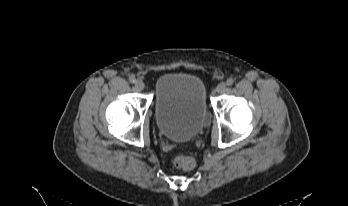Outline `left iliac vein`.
Listing matches in <instances>:
<instances>
[{
  "mask_svg": "<svg viewBox=\"0 0 348 206\" xmlns=\"http://www.w3.org/2000/svg\"><path fill=\"white\" fill-rule=\"evenodd\" d=\"M226 89V84L224 82H221L217 85L216 91L218 93H223Z\"/></svg>",
  "mask_w": 348,
  "mask_h": 206,
  "instance_id": "1",
  "label": "left iliac vein"
}]
</instances>
